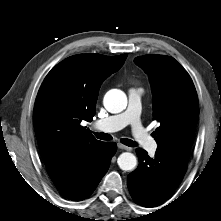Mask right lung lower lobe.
<instances>
[{"label": "right lung lower lobe", "instance_id": "right-lung-lower-lobe-1", "mask_svg": "<svg viewBox=\"0 0 221 221\" xmlns=\"http://www.w3.org/2000/svg\"><path fill=\"white\" fill-rule=\"evenodd\" d=\"M116 152L114 142H102L96 149L47 167L59 192L70 200L88 197L106 174Z\"/></svg>", "mask_w": 221, "mask_h": 221}]
</instances>
